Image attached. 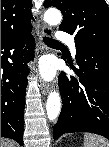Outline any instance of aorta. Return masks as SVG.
<instances>
[{"instance_id": "762f6f07", "label": "aorta", "mask_w": 109, "mask_h": 147, "mask_svg": "<svg viewBox=\"0 0 109 147\" xmlns=\"http://www.w3.org/2000/svg\"><path fill=\"white\" fill-rule=\"evenodd\" d=\"M44 20L49 25H58L62 21L61 12L56 8H49L44 14ZM48 119L55 120L61 110V98L58 92H51L46 103Z\"/></svg>"}]
</instances>
